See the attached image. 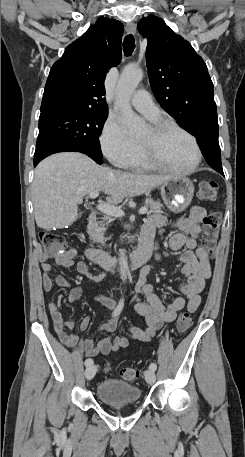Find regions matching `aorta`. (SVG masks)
Listing matches in <instances>:
<instances>
[{
    "label": "aorta",
    "mask_w": 245,
    "mask_h": 457,
    "mask_svg": "<svg viewBox=\"0 0 245 457\" xmlns=\"http://www.w3.org/2000/svg\"><path fill=\"white\" fill-rule=\"evenodd\" d=\"M143 78V72L137 67H126L117 83V98L115 105L121 111V122L132 135L140 134L146 129L145 121L136 115L131 108L130 98ZM120 277L127 279V259L124 249L120 250L119 257Z\"/></svg>",
    "instance_id": "obj_1"
}]
</instances>
